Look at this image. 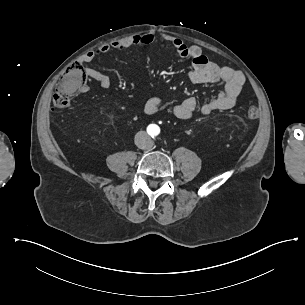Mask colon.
Instances as JSON below:
<instances>
[{"label": "colon", "instance_id": "5ec220e1", "mask_svg": "<svg viewBox=\"0 0 305 305\" xmlns=\"http://www.w3.org/2000/svg\"><path fill=\"white\" fill-rule=\"evenodd\" d=\"M86 85L87 78L83 74L80 63L77 61L70 62L65 74L56 84L57 93L53 96V105L59 109L66 108L69 101L73 100ZM247 116L254 119L257 116V110L253 107L249 108Z\"/></svg>", "mask_w": 305, "mask_h": 305}]
</instances>
